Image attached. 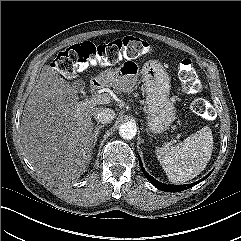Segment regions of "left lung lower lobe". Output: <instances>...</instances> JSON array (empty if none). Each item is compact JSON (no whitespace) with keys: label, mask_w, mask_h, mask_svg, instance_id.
<instances>
[{"label":"left lung lower lobe","mask_w":241,"mask_h":241,"mask_svg":"<svg viewBox=\"0 0 241 241\" xmlns=\"http://www.w3.org/2000/svg\"><path fill=\"white\" fill-rule=\"evenodd\" d=\"M139 165L142 169V172L144 173L145 177L153 184L155 185L158 189L162 190V191H166V192H179V191H183L186 190L188 188L193 187V185L198 184L199 182L203 181L204 179L207 178V176H205L204 178H202L201 180L192 183V184H187V185H167L161 182H158L157 180L153 179L143 168L142 163L139 162Z\"/></svg>","instance_id":"obj_1"}]
</instances>
